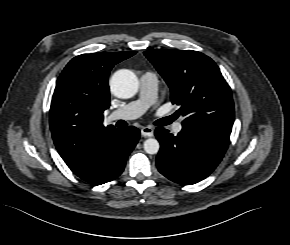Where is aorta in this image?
Masks as SVG:
<instances>
[{
    "mask_svg": "<svg viewBox=\"0 0 290 245\" xmlns=\"http://www.w3.org/2000/svg\"><path fill=\"white\" fill-rule=\"evenodd\" d=\"M112 93L118 98H130L138 90V79L130 70H119L114 73L110 80ZM160 144L157 139L149 138L144 141V150L148 154H157Z\"/></svg>",
    "mask_w": 290,
    "mask_h": 245,
    "instance_id": "762f6f07",
    "label": "aorta"
}]
</instances>
